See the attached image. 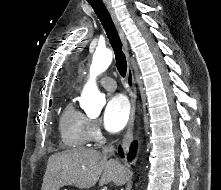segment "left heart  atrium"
I'll use <instances>...</instances> for the list:
<instances>
[{
	"instance_id": "1",
	"label": "left heart atrium",
	"mask_w": 221,
	"mask_h": 190,
	"mask_svg": "<svg viewBox=\"0 0 221 190\" xmlns=\"http://www.w3.org/2000/svg\"><path fill=\"white\" fill-rule=\"evenodd\" d=\"M130 116V105L123 95H114L107 100L102 122L106 130L118 132L125 127Z\"/></svg>"
}]
</instances>
